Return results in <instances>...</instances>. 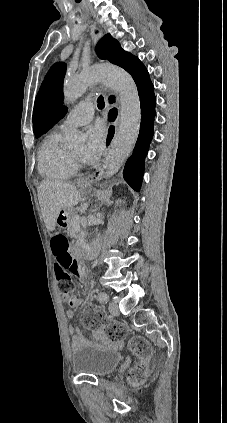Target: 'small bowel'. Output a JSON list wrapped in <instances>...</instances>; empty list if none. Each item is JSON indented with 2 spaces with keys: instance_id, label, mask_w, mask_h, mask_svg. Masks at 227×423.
Segmentation results:
<instances>
[{
  "instance_id": "obj_1",
  "label": "small bowel",
  "mask_w": 227,
  "mask_h": 423,
  "mask_svg": "<svg viewBox=\"0 0 227 423\" xmlns=\"http://www.w3.org/2000/svg\"><path fill=\"white\" fill-rule=\"evenodd\" d=\"M62 300L68 304V306L70 307V309L67 310L66 312V316L67 318L70 320L73 318V311L71 308H76L81 304V301L79 298H77L74 295H70V294H63L62 295ZM69 333L71 335H73L72 337V346L74 349H78L80 347H82L85 344V340L84 337L82 336L80 331H74V329L72 327H69ZM93 336L95 339L97 340H105V336L101 331H94L93 332Z\"/></svg>"
}]
</instances>
